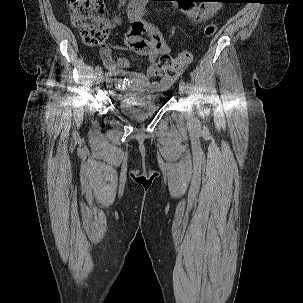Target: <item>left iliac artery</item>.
<instances>
[{
	"mask_svg": "<svg viewBox=\"0 0 303 303\" xmlns=\"http://www.w3.org/2000/svg\"><path fill=\"white\" fill-rule=\"evenodd\" d=\"M184 87H185L187 93L192 94L193 87H192V84L190 81L184 82Z\"/></svg>",
	"mask_w": 303,
	"mask_h": 303,
	"instance_id": "44dca946",
	"label": "left iliac artery"
}]
</instances>
